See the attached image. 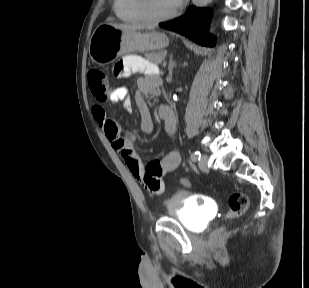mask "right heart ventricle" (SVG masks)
Instances as JSON below:
<instances>
[{
	"label": "right heart ventricle",
	"mask_w": 309,
	"mask_h": 288,
	"mask_svg": "<svg viewBox=\"0 0 309 288\" xmlns=\"http://www.w3.org/2000/svg\"><path fill=\"white\" fill-rule=\"evenodd\" d=\"M114 12L124 22L131 24L147 23L139 11L137 0H114Z\"/></svg>",
	"instance_id": "right-heart-ventricle-1"
}]
</instances>
